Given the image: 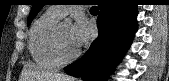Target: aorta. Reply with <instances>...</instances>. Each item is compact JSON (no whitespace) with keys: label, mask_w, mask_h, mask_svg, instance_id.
Segmentation results:
<instances>
[{"label":"aorta","mask_w":169,"mask_h":81,"mask_svg":"<svg viewBox=\"0 0 169 81\" xmlns=\"http://www.w3.org/2000/svg\"><path fill=\"white\" fill-rule=\"evenodd\" d=\"M66 23H70L71 22V19L70 18H65L64 20Z\"/></svg>","instance_id":"762f6f07"}]
</instances>
